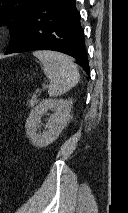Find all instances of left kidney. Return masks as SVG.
<instances>
[{
  "label": "left kidney",
  "mask_w": 128,
  "mask_h": 213,
  "mask_svg": "<svg viewBox=\"0 0 128 213\" xmlns=\"http://www.w3.org/2000/svg\"><path fill=\"white\" fill-rule=\"evenodd\" d=\"M72 109V101L64 99H44L33 108L26 121V135L31 143L39 148L54 142L67 126ZM48 110L54 113L50 116L43 133H37V127L43 114Z\"/></svg>",
  "instance_id": "5707ae66"
}]
</instances>
